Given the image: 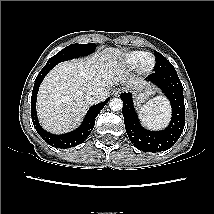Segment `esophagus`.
<instances>
[{
  "instance_id": "obj_1",
  "label": "esophagus",
  "mask_w": 214,
  "mask_h": 214,
  "mask_svg": "<svg viewBox=\"0 0 214 214\" xmlns=\"http://www.w3.org/2000/svg\"><path fill=\"white\" fill-rule=\"evenodd\" d=\"M121 90L119 88L114 89L113 95L118 96L120 94Z\"/></svg>"
}]
</instances>
